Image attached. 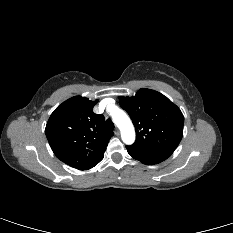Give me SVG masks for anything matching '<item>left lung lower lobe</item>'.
Listing matches in <instances>:
<instances>
[{
    "label": "left lung lower lobe",
    "instance_id": "0a47b994",
    "mask_svg": "<svg viewBox=\"0 0 233 233\" xmlns=\"http://www.w3.org/2000/svg\"><path fill=\"white\" fill-rule=\"evenodd\" d=\"M126 149L130 156L146 165L158 164L166 160L172 154L170 152L145 150L132 146H126Z\"/></svg>",
    "mask_w": 233,
    "mask_h": 233
}]
</instances>
